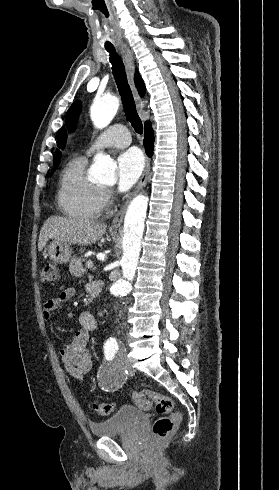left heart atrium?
I'll return each instance as SVG.
<instances>
[{"instance_id": "left-heart-atrium-1", "label": "left heart atrium", "mask_w": 279, "mask_h": 490, "mask_svg": "<svg viewBox=\"0 0 279 490\" xmlns=\"http://www.w3.org/2000/svg\"><path fill=\"white\" fill-rule=\"evenodd\" d=\"M144 169L142 154L131 149L122 153L117 159V188L126 192L139 180Z\"/></svg>"}]
</instances>
